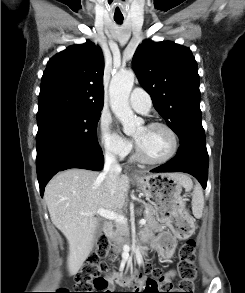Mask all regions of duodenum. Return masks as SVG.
<instances>
[{"instance_id":"1","label":"duodenum","mask_w":245,"mask_h":293,"mask_svg":"<svg viewBox=\"0 0 245 293\" xmlns=\"http://www.w3.org/2000/svg\"><path fill=\"white\" fill-rule=\"evenodd\" d=\"M104 233L108 236L112 235L113 233V225L111 223H106L104 225Z\"/></svg>"}]
</instances>
